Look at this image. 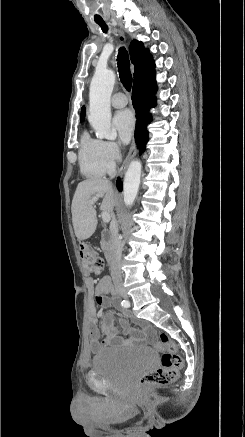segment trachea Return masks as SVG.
<instances>
[{"instance_id":"3493384b","label":"trachea","mask_w":245,"mask_h":437,"mask_svg":"<svg viewBox=\"0 0 245 437\" xmlns=\"http://www.w3.org/2000/svg\"><path fill=\"white\" fill-rule=\"evenodd\" d=\"M97 23L101 26L103 32L106 33L108 31V26L104 21H97ZM118 72L123 86L130 92L132 87V75L129 55L124 47H121L118 53Z\"/></svg>"}]
</instances>
